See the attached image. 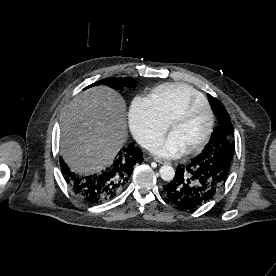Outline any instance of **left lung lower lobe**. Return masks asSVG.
<instances>
[{"instance_id": "0a47b994", "label": "left lung lower lobe", "mask_w": 276, "mask_h": 276, "mask_svg": "<svg viewBox=\"0 0 276 276\" xmlns=\"http://www.w3.org/2000/svg\"><path fill=\"white\" fill-rule=\"evenodd\" d=\"M220 174L203 155L191 159L183 166H178L175 177L164 190L167 197L178 207L196 209L207 203L222 188Z\"/></svg>"}]
</instances>
